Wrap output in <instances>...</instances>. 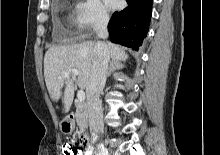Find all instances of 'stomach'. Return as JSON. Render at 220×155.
<instances>
[{
	"label": "stomach",
	"instance_id": "0dacf381",
	"mask_svg": "<svg viewBox=\"0 0 220 155\" xmlns=\"http://www.w3.org/2000/svg\"><path fill=\"white\" fill-rule=\"evenodd\" d=\"M75 122L71 118H65L60 122V130L64 134H71L74 131Z\"/></svg>",
	"mask_w": 220,
	"mask_h": 155
}]
</instances>
